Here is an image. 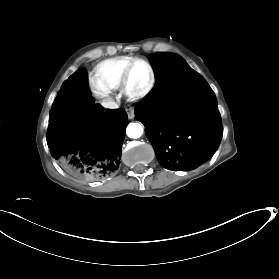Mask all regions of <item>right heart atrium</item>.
<instances>
[{"label": "right heart atrium", "mask_w": 279, "mask_h": 279, "mask_svg": "<svg viewBox=\"0 0 279 279\" xmlns=\"http://www.w3.org/2000/svg\"><path fill=\"white\" fill-rule=\"evenodd\" d=\"M94 92L98 97H102L106 94V92L96 86H94Z\"/></svg>", "instance_id": "d8ad5b80"}]
</instances>
